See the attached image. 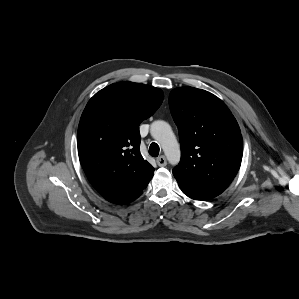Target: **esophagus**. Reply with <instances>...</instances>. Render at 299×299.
<instances>
[{
    "mask_svg": "<svg viewBox=\"0 0 299 299\" xmlns=\"http://www.w3.org/2000/svg\"><path fill=\"white\" fill-rule=\"evenodd\" d=\"M157 164H158V166H160V167H164V166H166V165H167V160H166L165 156H160V157H158V158H157Z\"/></svg>",
    "mask_w": 299,
    "mask_h": 299,
    "instance_id": "esophagus-1",
    "label": "esophagus"
}]
</instances>
